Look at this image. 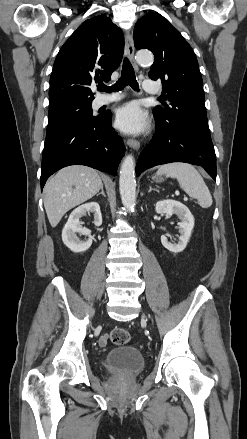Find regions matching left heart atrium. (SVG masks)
<instances>
[{
    "label": "left heart atrium",
    "mask_w": 247,
    "mask_h": 439,
    "mask_svg": "<svg viewBox=\"0 0 247 439\" xmlns=\"http://www.w3.org/2000/svg\"><path fill=\"white\" fill-rule=\"evenodd\" d=\"M116 125L125 133H142L148 127V117L136 102H130L118 109Z\"/></svg>",
    "instance_id": "39dd6f15"
}]
</instances>
